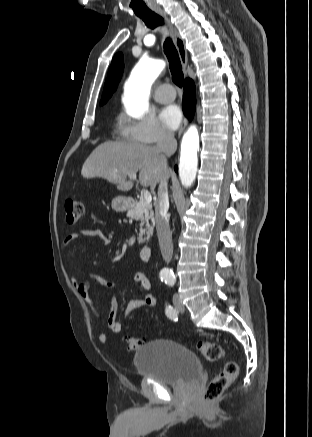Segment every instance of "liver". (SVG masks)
<instances>
[{
	"mask_svg": "<svg viewBox=\"0 0 312 437\" xmlns=\"http://www.w3.org/2000/svg\"><path fill=\"white\" fill-rule=\"evenodd\" d=\"M139 172L143 187L154 190L165 170L156 146L137 142H104L84 162L81 174L84 178H103L116 184L118 190L129 191L133 181L129 173ZM166 173L169 175V170Z\"/></svg>",
	"mask_w": 312,
	"mask_h": 437,
	"instance_id": "obj_1",
	"label": "liver"
}]
</instances>
